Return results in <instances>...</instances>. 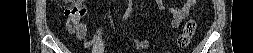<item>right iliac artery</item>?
Segmentation results:
<instances>
[{
	"label": "right iliac artery",
	"mask_w": 253,
	"mask_h": 53,
	"mask_svg": "<svg viewBox=\"0 0 253 53\" xmlns=\"http://www.w3.org/2000/svg\"><path fill=\"white\" fill-rule=\"evenodd\" d=\"M131 11H132V7H131V4H129V7L126 10L125 14L123 15L122 20H126L128 16L130 15Z\"/></svg>",
	"instance_id": "1"
}]
</instances>
